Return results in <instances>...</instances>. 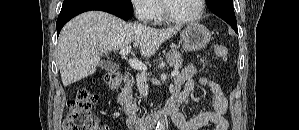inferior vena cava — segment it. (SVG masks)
Masks as SVG:
<instances>
[{
	"label": "inferior vena cava",
	"instance_id": "obj_1",
	"mask_svg": "<svg viewBox=\"0 0 299 130\" xmlns=\"http://www.w3.org/2000/svg\"><path fill=\"white\" fill-rule=\"evenodd\" d=\"M136 81L139 93L145 98H147L149 88L147 84V76L145 75V73L138 74L136 76ZM140 127L142 128L143 126Z\"/></svg>",
	"mask_w": 299,
	"mask_h": 130
}]
</instances>
